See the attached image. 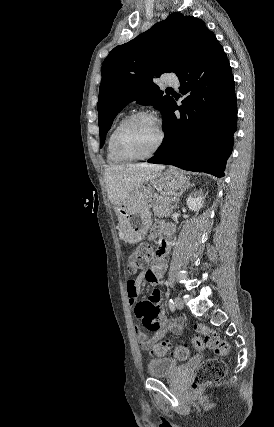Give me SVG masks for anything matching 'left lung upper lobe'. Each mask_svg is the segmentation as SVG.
<instances>
[{
  "label": "left lung upper lobe",
  "instance_id": "left-lung-upper-lobe-1",
  "mask_svg": "<svg viewBox=\"0 0 274 427\" xmlns=\"http://www.w3.org/2000/svg\"><path fill=\"white\" fill-rule=\"evenodd\" d=\"M212 37L215 35L202 20L174 12L133 40L115 47L102 65L97 104L100 147L114 118L128 102L151 104L164 115L172 97L163 95L153 78L165 72L179 76Z\"/></svg>",
  "mask_w": 274,
  "mask_h": 427
}]
</instances>
